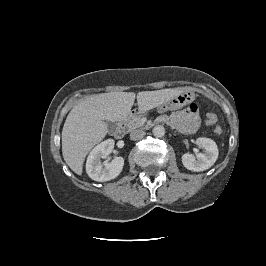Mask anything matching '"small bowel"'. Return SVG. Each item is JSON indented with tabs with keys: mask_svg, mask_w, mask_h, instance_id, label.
Segmentation results:
<instances>
[{
	"mask_svg": "<svg viewBox=\"0 0 266 266\" xmlns=\"http://www.w3.org/2000/svg\"><path fill=\"white\" fill-rule=\"evenodd\" d=\"M158 120L186 134L196 132L200 124L199 113L195 104H190L187 108L170 115H162Z\"/></svg>",
	"mask_w": 266,
	"mask_h": 266,
	"instance_id": "small-bowel-1",
	"label": "small bowel"
}]
</instances>
